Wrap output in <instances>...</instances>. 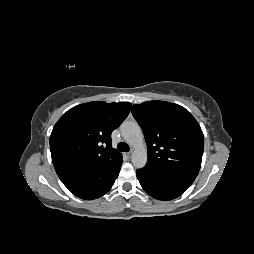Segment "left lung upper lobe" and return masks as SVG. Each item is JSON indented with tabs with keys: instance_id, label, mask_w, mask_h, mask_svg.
<instances>
[{
	"instance_id": "5c2ea615",
	"label": "left lung upper lobe",
	"mask_w": 254,
	"mask_h": 254,
	"mask_svg": "<svg viewBox=\"0 0 254 254\" xmlns=\"http://www.w3.org/2000/svg\"><path fill=\"white\" fill-rule=\"evenodd\" d=\"M132 115L141 126L148 145V165L161 170L198 175L204 135L184 107L165 101L135 104Z\"/></svg>"
}]
</instances>
